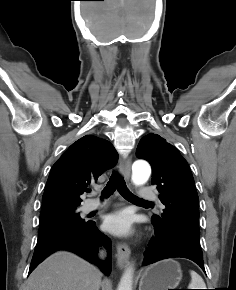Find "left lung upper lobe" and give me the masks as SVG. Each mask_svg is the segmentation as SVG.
Listing matches in <instances>:
<instances>
[{"instance_id": "obj_1", "label": "left lung upper lobe", "mask_w": 236, "mask_h": 290, "mask_svg": "<svg viewBox=\"0 0 236 290\" xmlns=\"http://www.w3.org/2000/svg\"><path fill=\"white\" fill-rule=\"evenodd\" d=\"M136 155L150 163L151 183L157 185L159 199L166 206L161 217L153 215L152 222L199 238L198 194L191 170L177 148L150 133L140 140Z\"/></svg>"}]
</instances>
